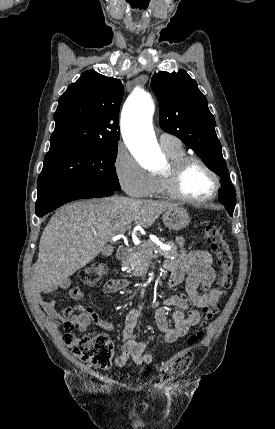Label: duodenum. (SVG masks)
<instances>
[{"label": "duodenum", "instance_id": "obj_1", "mask_svg": "<svg viewBox=\"0 0 275 429\" xmlns=\"http://www.w3.org/2000/svg\"><path fill=\"white\" fill-rule=\"evenodd\" d=\"M130 256V249L126 246H120L117 250V259L121 262L126 261Z\"/></svg>", "mask_w": 275, "mask_h": 429}]
</instances>
